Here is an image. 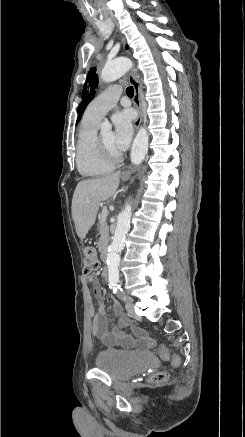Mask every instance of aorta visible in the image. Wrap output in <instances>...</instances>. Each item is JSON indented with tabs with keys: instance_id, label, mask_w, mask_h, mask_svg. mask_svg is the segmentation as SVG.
Masks as SVG:
<instances>
[{
	"instance_id": "1",
	"label": "aorta",
	"mask_w": 245,
	"mask_h": 437,
	"mask_svg": "<svg viewBox=\"0 0 245 437\" xmlns=\"http://www.w3.org/2000/svg\"><path fill=\"white\" fill-rule=\"evenodd\" d=\"M132 67L128 58H118L105 65L101 72V79L112 82L123 76ZM149 136L144 128H140L131 148V162L139 165L148 152ZM131 205L127 204L117 216V224L112 243L107 255L109 282H117L119 279L120 253L123 250L125 236L130 228Z\"/></svg>"
}]
</instances>
